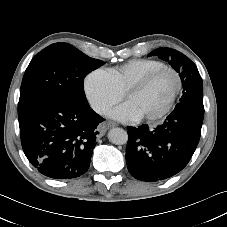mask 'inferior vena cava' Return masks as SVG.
<instances>
[{
  "label": "inferior vena cava",
  "instance_id": "602c4592",
  "mask_svg": "<svg viewBox=\"0 0 227 227\" xmlns=\"http://www.w3.org/2000/svg\"><path fill=\"white\" fill-rule=\"evenodd\" d=\"M91 107L100 115H107L109 113V106L103 102L95 101L91 104Z\"/></svg>",
  "mask_w": 227,
  "mask_h": 227
}]
</instances>
